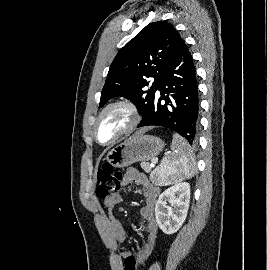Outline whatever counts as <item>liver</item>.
Masks as SVG:
<instances>
[{
    "mask_svg": "<svg viewBox=\"0 0 267 270\" xmlns=\"http://www.w3.org/2000/svg\"><path fill=\"white\" fill-rule=\"evenodd\" d=\"M149 129L150 128H142L138 132H136L133 137L140 136V135L144 134L146 131H148Z\"/></svg>",
    "mask_w": 267,
    "mask_h": 270,
    "instance_id": "liver-1",
    "label": "liver"
}]
</instances>
